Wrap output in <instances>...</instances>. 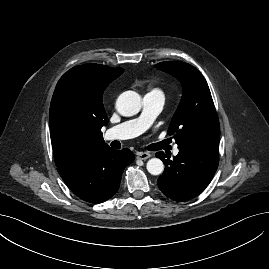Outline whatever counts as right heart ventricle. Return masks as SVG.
<instances>
[{"instance_id": "1", "label": "right heart ventricle", "mask_w": 269, "mask_h": 269, "mask_svg": "<svg viewBox=\"0 0 269 269\" xmlns=\"http://www.w3.org/2000/svg\"><path fill=\"white\" fill-rule=\"evenodd\" d=\"M154 91H158V90H156V89H153L151 92H154Z\"/></svg>"}]
</instances>
